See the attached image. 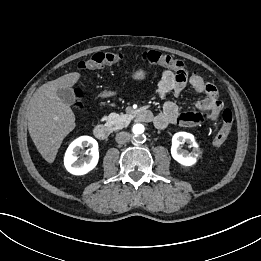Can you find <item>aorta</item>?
I'll use <instances>...</instances> for the list:
<instances>
[{
	"instance_id": "obj_1",
	"label": "aorta",
	"mask_w": 261,
	"mask_h": 261,
	"mask_svg": "<svg viewBox=\"0 0 261 261\" xmlns=\"http://www.w3.org/2000/svg\"><path fill=\"white\" fill-rule=\"evenodd\" d=\"M144 132H145V127L142 124H135L132 128V134L138 140L143 139Z\"/></svg>"
}]
</instances>
